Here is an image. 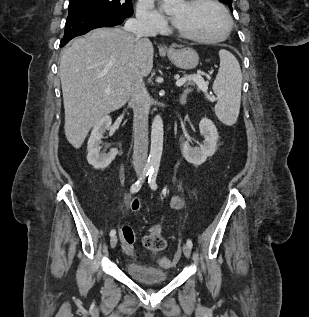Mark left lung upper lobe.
<instances>
[{
	"instance_id": "obj_1",
	"label": "left lung upper lobe",
	"mask_w": 309,
	"mask_h": 317,
	"mask_svg": "<svg viewBox=\"0 0 309 317\" xmlns=\"http://www.w3.org/2000/svg\"><path fill=\"white\" fill-rule=\"evenodd\" d=\"M219 1H221L222 3L228 5L230 10L232 11V6H231L232 0H219Z\"/></svg>"
}]
</instances>
